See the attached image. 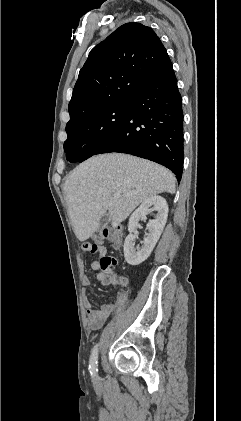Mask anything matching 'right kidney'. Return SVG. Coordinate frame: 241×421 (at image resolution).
<instances>
[{
    "label": "right kidney",
    "mask_w": 241,
    "mask_h": 421,
    "mask_svg": "<svg viewBox=\"0 0 241 421\" xmlns=\"http://www.w3.org/2000/svg\"><path fill=\"white\" fill-rule=\"evenodd\" d=\"M157 211L155 219L150 220L146 226L147 237L143 240L141 248H134L136 240V227L140 219L144 218L151 207ZM168 216V205L161 196H152L146 199L130 216L129 235L124 242V257L128 264L136 266L144 262L151 254L165 227Z\"/></svg>",
    "instance_id": "obj_1"
}]
</instances>
